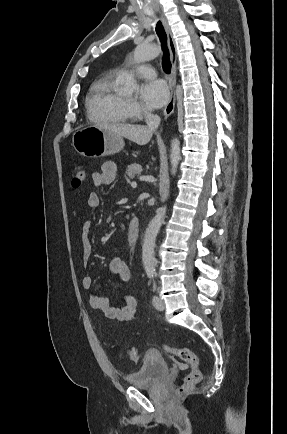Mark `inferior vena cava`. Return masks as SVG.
I'll return each mask as SVG.
<instances>
[{
    "instance_id": "1",
    "label": "inferior vena cava",
    "mask_w": 287,
    "mask_h": 434,
    "mask_svg": "<svg viewBox=\"0 0 287 434\" xmlns=\"http://www.w3.org/2000/svg\"><path fill=\"white\" fill-rule=\"evenodd\" d=\"M145 121L148 127L155 129L160 124V117L156 114H152L151 112H147L145 115Z\"/></svg>"
}]
</instances>
